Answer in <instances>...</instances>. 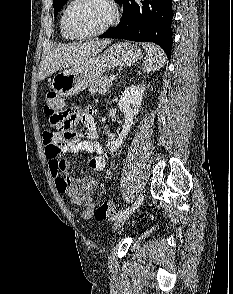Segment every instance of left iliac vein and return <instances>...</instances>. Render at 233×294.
<instances>
[{"label":"left iliac vein","mask_w":233,"mask_h":294,"mask_svg":"<svg viewBox=\"0 0 233 294\" xmlns=\"http://www.w3.org/2000/svg\"><path fill=\"white\" fill-rule=\"evenodd\" d=\"M131 213L125 214L122 217H120L119 219L115 220L114 225H113V229L114 230L119 229L127 221V219L130 217Z\"/></svg>","instance_id":"1"}]
</instances>
